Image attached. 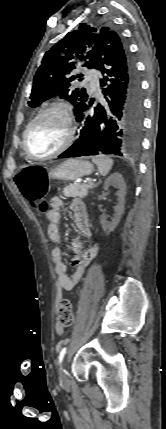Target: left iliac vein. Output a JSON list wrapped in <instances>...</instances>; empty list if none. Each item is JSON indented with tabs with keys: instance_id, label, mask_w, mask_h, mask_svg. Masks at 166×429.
<instances>
[{
	"instance_id": "1",
	"label": "left iliac vein",
	"mask_w": 166,
	"mask_h": 429,
	"mask_svg": "<svg viewBox=\"0 0 166 429\" xmlns=\"http://www.w3.org/2000/svg\"><path fill=\"white\" fill-rule=\"evenodd\" d=\"M59 378H60V383L62 385H67L68 384V379H67V376H66V363L65 362L62 363V366H61V368L59 370Z\"/></svg>"
}]
</instances>
